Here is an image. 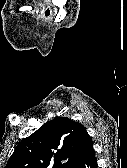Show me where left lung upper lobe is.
<instances>
[{
	"instance_id": "5c2ea615",
	"label": "left lung upper lobe",
	"mask_w": 127,
	"mask_h": 168,
	"mask_svg": "<svg viewBox=\"0 0 127 168\" xmlns=\"http://www.w3.org/2000/svg\"><path fill=\"white\" fill-rule=\"evenodd\" d=\"M89 138L85 127L70 118L56 117L23 139L5 168H75Z\"/></svg>"
}]
</instances>
